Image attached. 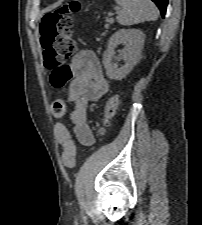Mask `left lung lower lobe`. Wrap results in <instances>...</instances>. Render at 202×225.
I'll return each mask as SVG.
<instances>
[{
	"label": "left lung lower lobe",
	"mask_w": 202,
	"mask_h": 225,
	"mask_svg": "<svg viewBox=\"0 0 202 225\" xmlns=\"http://www.w3.org/2000/svg\"><path fill=\"white\" fill-rule=\"evenodd\" d=\"M160 9L162 17H164L166 13V7L168 4V0H152Z\"/></svg>",
	"instance_id": "1"
}]
</instances>
